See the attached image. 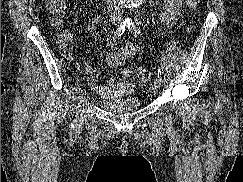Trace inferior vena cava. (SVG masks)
Returning <instances> with one entry per match:
<instances>
[{
  "label": "inferior vena cava",
  "instance_id": "inferior-vena-cava-1",
  "mask_svg": "<svg viewBox=\"0 0 243 182\" xmlns=\"http://www.w3.org/2000/svg\"><path fill=\"white\" fill-rule=\"evenodd\" d=\"M107 8L111 14L119 15L120 9L118 5V0H106Z\"/></svg>",
  "mask_w": 243,
  "mask_h": 182
}]
</instances>
